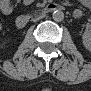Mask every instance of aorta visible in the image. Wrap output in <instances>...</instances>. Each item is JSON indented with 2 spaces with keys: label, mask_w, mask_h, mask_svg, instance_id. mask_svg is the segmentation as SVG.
Segmentation results:
<instances>
[{
  "label": "aorta",
  "mask_w": 91,
  "mask_h": 91,
  "mask_svg": "<svg viewBox=\"0 0 91 91\" xmlns=\"http://www.w3.org/2000/svg\"><path fill=\"white\" fill-rule=\"evenodd\" d=\"M53 20L56 22H61L64 20V13L60 10H55L52 14Z\"/></svg>",
  "instance_id": "1"
}]
</instances>
